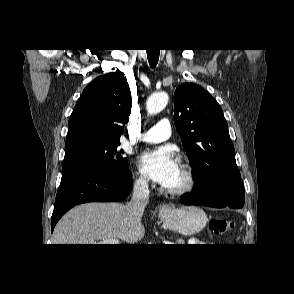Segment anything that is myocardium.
<instances>
[{
  "label": "myocardium",
  "mask_w": 294,
  "mask_h": 294,
  "mask_svg": "<svg viewBox=\"0 0 294 294\" xmlns=\"http://www.w3.org/2000/svg\"><path fill=\"white\" fill-rule=\"evenodd\" d=\"M179 168L183 174L184 182L178 188H164L166 194L171 196H183L189 193L195 185V176L192 167L186 162H179Z\"/></svg>",
  "instance_id": "myocardium-1"
}]
</instances>
